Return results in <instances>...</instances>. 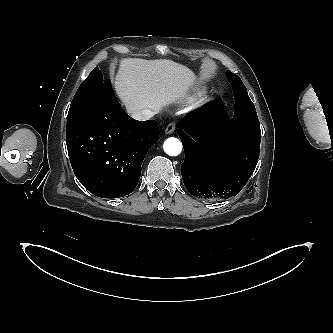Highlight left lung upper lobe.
<instances>
[{
	"label": "left lung upper lobe",
	"mask_w": 333,
	"mask_h": 333,
	"mask_svg": "<svg viewBox=\"0 0 333 333\" xmlns=\"http://www.w3.org/2000/svg\"><path fill=\"white\" fill-rule=\"evenodd\" d=\"M226 76L233 87L234 97L236 101H245L250 107H254L253 103L248 97L246 87L244 86L241 79L230 71L226 72Z\"/></svg>",
	"instance_id": "left-lung-upper-lobe-1"
}]
</instances>
